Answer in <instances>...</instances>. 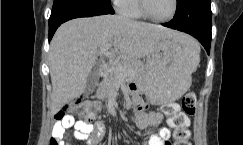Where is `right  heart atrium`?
Returning a JSON list of instances; mask_svg holds the SVG:
<instances>
[{"label":"right heart atrium","mask_w":243,"mask_h":145,"mask_svg":"<svg viewBox=\"0 0 243 145\" xmlns=\"http://www.w3.org/2000/svg\"><path fill=\"white\" fill-rule=\"evenodd\" d=\"M114 4L119 8L120 5L124 2V0H112Z\"/></svg>","instance_id":"right-heart-atrium-1"}]
</instances>
